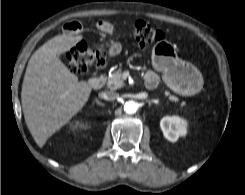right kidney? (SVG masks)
I'll return each mask as SVG.
<instances>
[{
	"label": "right kidney",
	"instance_id": "obj_1",
	"mask_svg": "<svg viewBox=\"0 0 245 195\" xmlns=\"http://www.w3.org/2000/svg\"><path fill=\"white\" fill-rule=\"evenodd\" d=\"M76 126H77V124L74 127H76ZM80 126L82 127L83 125L81 124Z\"/></svg>",
	"mask_w": 245,
	"mask_h": 195
}]
</instances>
